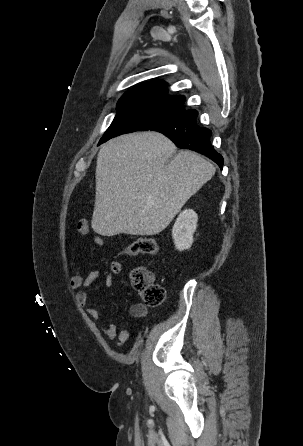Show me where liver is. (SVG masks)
I'll return each mask as SVG.
<instances>
[{"mask_svg": "<svg viewBox=\"0 0 303 446\" xmlns=\"http://www.w3.org/2000/svg\"><path fill=\"white\" fill-rule=\"evenodd\" d=\"M176 152L157 132L116 137L97 156L93 230L151 236L173 220L187 200L215 174V167L195 152Z\"/></svg>", "mask_w": 303, "mask_h": 446, "instance_id": "1", "label": "liver"}]
</instances>
